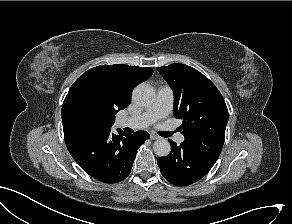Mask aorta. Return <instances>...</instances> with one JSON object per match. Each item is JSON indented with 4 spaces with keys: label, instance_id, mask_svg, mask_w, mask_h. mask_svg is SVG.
Returning a JSON list of instances; mask_svg holds the SVG:
<instances>
[{
    "label": "aorta",
    "instance_id": "1",
    "mask_svg": "<svg viewBox=\"0 0 292 224\" xmlns=\"http://www.w3.org/2000/svg\"><path fill=\"white\" fill-rule=\"evenodd\" d=\"M154 91L146 84H139L132 93V100L141 107H149L154 101ZM153 150L156 155L165 157L169 155L171 147L166 139H158L153 144Z\"/></svg>",
    "mask_w": 292,
    "mask_h": 224
}]
</instances>
